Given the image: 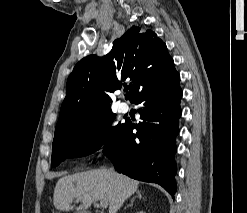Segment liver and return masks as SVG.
Segmentation results:
<instances>
[{
	"label": "liver",
	"instance_id": "obj_1",
	"mask_svg": "<svg viewBox=\"0 0 247 213\" xmlns=\"http://www.w3.org/2000/svg\"><path fill=\"white\" fill-rule=\"evenodd\" d=\"M139 182L109 169H95L60 178L54 188L56 209L70 211L73 200L81 202L77 210L86 209L93 202H107L109 213H117L127 198L138 189Z\"/></svg>",
	"mask_w": 247,
	"mask_h": 213
}]
</instances>
